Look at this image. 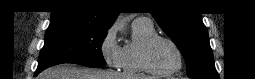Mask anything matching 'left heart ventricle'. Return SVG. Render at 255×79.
Instances as JSON below:
<instances>
[{"label": "left heart ventricle", "instance_id": "1", "mask_svg": "<svg viewBox=\"0 0 255 79\" xmlns=\"http://www.w3.org/2000/svg\"><path fill=\"white\" fill-rule=\"evenodd\" d=\"M150 63L159 71H169L178 64V56L174 48L166 41H156L149 52Z\"/></svg>", "mask_w": 255, "mask_h": 79}]
</instances>
